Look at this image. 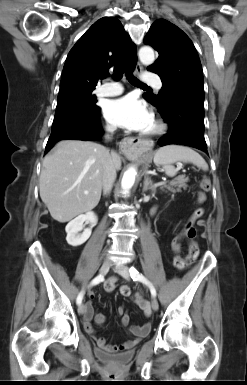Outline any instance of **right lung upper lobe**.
I'll use <instances>...</instances> for the list:
<instances>
[{
	"label": "right lung upper lobe",
	"instance_id": "1",
	"mask_svg": "<svg viewBox=\"0 0 247 385\" xmlns=\"http://www.w3.org/2000/svg\"><path fill=\"white\" fill-rule=\"evenodd\" d=\"M137 55L135 44L116 18L95 22L69 52L62 72L60 91L94 90L109 69L133 70Z\"/></svg>",
	"mask_w": 247,
	"mask_h": 385
}]
</instances>
